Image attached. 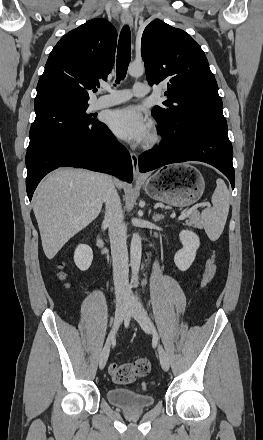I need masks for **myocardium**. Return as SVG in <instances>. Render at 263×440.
Returning <instances> with one entry per match:
<instances>
[{
	"mask_svg": "<svg viewBox=\"0 0 263 440\" xmlns=\"http://www.w3.org/2000/svg\"><path fill=\"white\" fill-rule=\"evenodd\" d=\"M160 141V134L156 129H152L144 139L143 146L146 149L155 147Z\"/></svg>",
	"mask_w": 263,
	"mask_h": 440,
	"instance_id": "obj_1",
	"label": "myocardium"
}]
</instances>
